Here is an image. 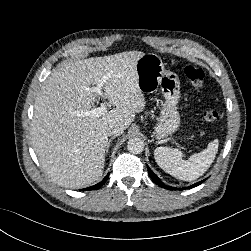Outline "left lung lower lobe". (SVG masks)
Segmentation results:
<instances>
[{"label":"left lung lower lobe","mask_w":251,"mask_h":251,"mask_svg":"<svg viewBox=\"0 0 251 251\" xmlns=\"http://www.w3.org/2000/svg\"><path fill=\"white\" fill-rule=\"evenodd\" d=\"M147 169H148V174L149 176L151 177V179L160 187L162 188H165V189H168V190H177L176 188H173V187H170V186H167L166 184H164L157 176L156 174L147 166ZM204 180L198 182V183H195L189 187H187L186 189H190V188H193V187H196L198 186L199 184H201Z\"/></svg>","instance_id":"left-lung-lower-lobe-1"}]
</instances>
